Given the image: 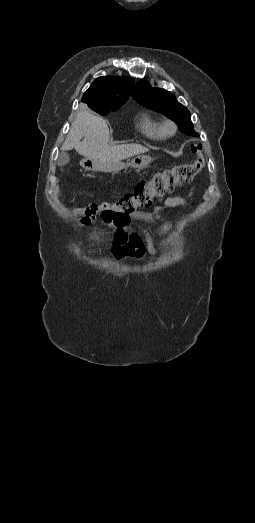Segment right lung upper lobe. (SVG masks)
<instances>
[{"label": "right lung upper lobe", "instance_id": "right-lung-upper-lobe-1", "mask_svg": "<svg viewBox=\"0 0 255 523\" xmlns=\"http://www.w3.org/2000/svg\"><path fill=\"white\" fill-rule=\"evenodd\" d=\"M134 83L129 77H99L84 93L81 101L88 107L95 104L126 102Z\"/></svg>", "mask_w": 255, "mask_h": 523}]
</instances>
